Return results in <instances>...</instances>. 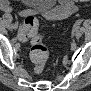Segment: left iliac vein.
Masks as SVG:
<instances>
[{
	"label": "left iliac vein",
	"mask_w": 91,
	"mask_h": 91,
	"mask_svg": "<svg viewBox=\"0 0 91 91\" xmlns=\"http://www.w3.org/2000/svg\"><path fill=\"white\" fill-rule=\"evenodd\" d=\"M81 34H82L81 30L76 29V31H75V35H76V37H80Z\"/></svg>",
	"instance_id": "4c4485c4"
}]
</instances>
